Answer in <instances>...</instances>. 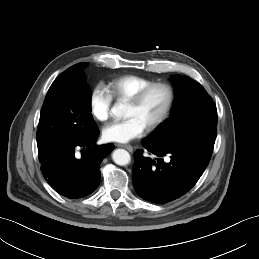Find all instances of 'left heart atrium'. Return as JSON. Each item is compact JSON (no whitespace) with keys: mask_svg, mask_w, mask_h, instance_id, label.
Returning <instances> with one entry per match:
<instances>
[{"mask_svg":"<svg viewBox=\"0 0 259 259\" xmlns=\"http://www.w3.org/2000/svg\"><path fill=\"white\" fill-rule=\"evenodd\" d=\"M146 126L135 117L115 121L103 129L107 141L126 143L144 134Z\"/></svg>","mask_w":259,"mask_h":259,"instance_id":"39dd6f15","label":"left heart atrium"}]
</instances>
